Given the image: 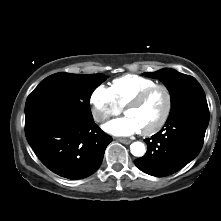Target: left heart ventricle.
Here are the masks:
<instances>
[{
  "instance_id": "b2bd125f",
  "label": "left heart ventricle",
  "mask_w": 221,
  "mask_h": 221,
  "mask_svg": "<svg viewBox=\"0 0 221 221\" xmlns=\"http://www.w3.org/2000/svg\"><path fill=\"white\" fill-rule=\"evenodd\" d=\"M166 94L158 89L141 105L129 109L126 115L132 118L140 130H147L155 126L164 114L166 108Z\"/></svg>"
}]
</instances>
